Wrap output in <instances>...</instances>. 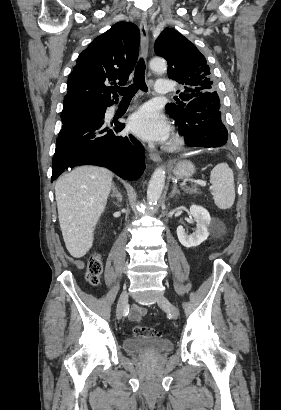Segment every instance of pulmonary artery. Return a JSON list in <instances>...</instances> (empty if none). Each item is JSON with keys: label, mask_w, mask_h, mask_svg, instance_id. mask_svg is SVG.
I'll list each match as a JSON object with an SVG mask.
<instances>
[{"label": "pulmonary artery", "mask_w": 281, "mask_h": 410, "mask_svg": "<svg viewBox=\"0 0 281 410\" xmlns=\"http://www.w3.org/2000/svg\"><path fill=\"white\" fill-rule=\"evenodd\" d=\"M171 82L168 80H159L155 84V91L160 94H167L171 92Z\"/></svg>", "instance_id": "1"}]
</instances>
